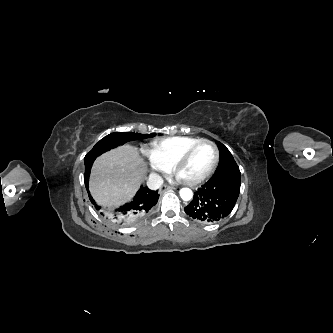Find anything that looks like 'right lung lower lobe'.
Returning <instances> with one entry per match:
<instances>
[{"instance_id":"obj_1","label":"right lung lower lobe","mask_w":333,"mask_h":333,"mask_svg":"<svg viewBox=\"0 0 333 333\" xmlns=\"http://www.w3.org/2000/svg\"><path fill=\"white\" fill-rule=\"evenodd\" d=\"M99 155H86L84 158L85 163V176L84 181L86 185V189L88 191V181L90 170L94 160ZM89 193V191H88ZM90 201L94 204L96 210L106 219H112L117 225L126 226L130 224L134 219L144 216L148 211L156 205L159 194L158 191H152L148 187L141 186L135 195L134 199L116 209L115 213L108 211L107 209H102L100 206L95 204V201L89 194Z\"/></svg>"}]
</instances>
